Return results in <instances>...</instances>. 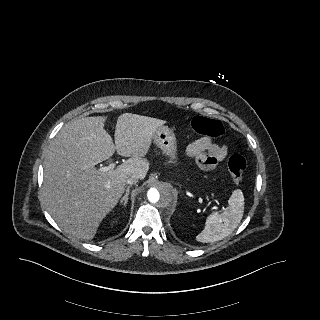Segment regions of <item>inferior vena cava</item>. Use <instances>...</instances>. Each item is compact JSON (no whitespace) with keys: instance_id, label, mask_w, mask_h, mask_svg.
Here are the masks:
<instances>
[{"instance_id":"inferior-vena-cava-1","label":"inferior vena cava","mask_w":320,"mask_h":320,"mask_svg":"<svg viewBox=\"0 0 320 320\" xmlns=\"http://www.w3.org/2000/svg\"><path fill=\"white\" fill-rule=\"evenodd\" d=\"M138 180H139V176L136 175V174H132V175H130V176H128L126 178L125 182H126V184H130L131 185V184L137 183Z\"/></svg>"}]
</instances>
